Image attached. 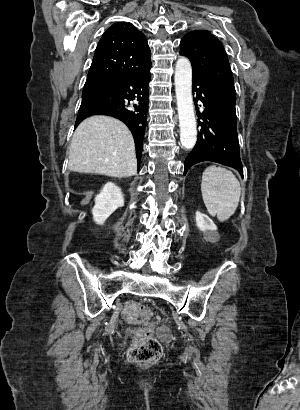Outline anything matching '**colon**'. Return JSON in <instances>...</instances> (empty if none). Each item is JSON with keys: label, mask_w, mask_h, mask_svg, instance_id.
I'll use <instances>...</instances> for the list:
<instances>
[{"label": "colon", "mask_w": 300, "mask_h": 410, "mask_svg": "<svg viewBox=\"0 0 300 410\" xmlns=\"http://www.w3.org/2000/svg\"><path fill=\"white\" fill-rule=\"evenodd\" d=\"M125 317L142 329L156 330L158 323L149 317V308L143 303L131 301L125 304ZM136 321V322H135ZM162 345L153 338L148 330H139L134 336L128 350V360L137 365L156 363L162 356Z\"/></svg>", "instance_id": "1"}]
</instances>
